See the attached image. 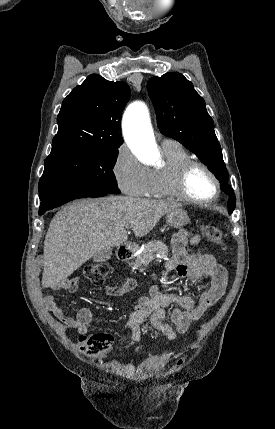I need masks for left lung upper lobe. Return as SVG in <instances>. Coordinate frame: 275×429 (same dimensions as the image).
I'll list each match as a JSON object with an SVG mask.
<instances>
[{"instance_id": "obj_1", "label": "left lung upper lobe", "mask_w": 275, "mask_h": 429, "mask_svg": "<svg viewBox=\"0 0 275 429\" xmlns=\"http://www.w3.org/2000/svg\"><path fill=\"white\" fill-rule=\"evenodd\" d=\"M147 89L156 108L160 132L195 153L215 174L222 190L230 196L228 212L231 214L236 206V198L227 183L229 176L221 146L204 99L196 92L193 84L178 72L151 78Z\"/></svg>"}]
</instances>
